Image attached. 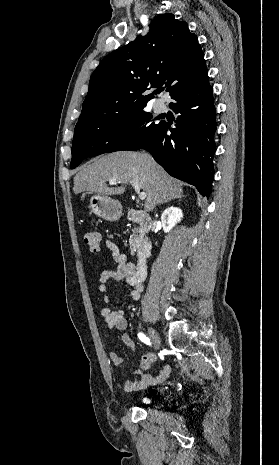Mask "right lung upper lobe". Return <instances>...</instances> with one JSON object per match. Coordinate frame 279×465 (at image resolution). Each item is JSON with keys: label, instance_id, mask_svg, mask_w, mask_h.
Returning a JSON list of instances; mask_svg holds the SVG:
<instances>
[{"label": "right lung upper lobe", "instance_id": "obj_1", "mask_svg": "<svg viewBox=\"0 0 279 465\" xmlns=\"http://www.w3.org/2000/svg\"><path fill=\"white\" fill-rule=\"evenodd\" d=\"M197 36L172 14H162L138 36L107 55L93 72L76 126L127 113L152 99L146 91L165 85L170 96L207 76Z\"/></svg>", "mask_w": 279, "mask_h": 465}]
</instances>
